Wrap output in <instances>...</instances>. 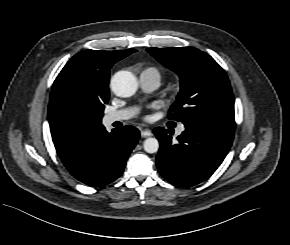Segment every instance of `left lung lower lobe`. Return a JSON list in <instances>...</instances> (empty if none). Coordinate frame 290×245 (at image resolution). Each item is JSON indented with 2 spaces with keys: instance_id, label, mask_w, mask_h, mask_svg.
Returning <instances> with one entry per match:
<instances>
[{
  "instance_id": "left-lung-lower-lobe-1",
  "label": "left lung lower lobe",
  "mask_w": 290,
  "mask_h": 245,
  "mask_svg": "<svg viewBox=\"0 0 290 245\" xmlns=\"http://www.w3.org/2000/svg\"><path fill=\"white\" fill-rule=\"evenodd\" d=\"M185 131L172 141V132L157 127L153 133L160 142L156 157L159 173L170 183L191 187L209 178L226 157L234 133L200 121L184 123Z\"/></svg>"
}]
</instances>
